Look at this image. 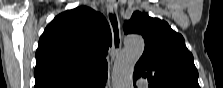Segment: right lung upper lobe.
Returning <instances> with one entry per match:
<instances>
[{
    "mask_svg": "<svg viewBox=\"0 0 223 88\" xmlns=\"http://www.w3.org/2000/svg\"><path fill=\"white\" fill-rule=\"evenodd\" d=\"M112 36L104 16L81 6L56 16L36 51L35 88H92L107 77Z\"/></svg>",
    "mask_w": 223,
    "mask_h": 88,
    "instance_id": "cb5924a9",
    "label": "right lung upper lobe"
}]
</instances>
